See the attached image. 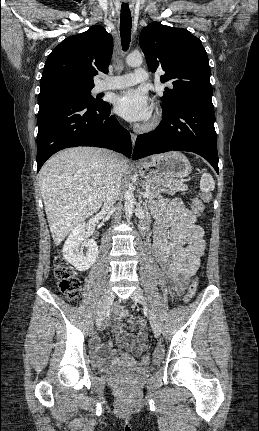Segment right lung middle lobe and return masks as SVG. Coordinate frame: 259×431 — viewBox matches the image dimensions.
Returning <instances> with one entry per match:
<instances>
[{"mask_svg": "<svg viewBox=\"0 0 259 431\" xmlns=\"http://www.w3.org/2000/svg\"><path fill=\"white\" fill-rule=\"evenodd\" d=\"M92 88H83L66 81L46 84L38 96L39 106L61 99L77 100L92 105L103 103L91 95Z\"/></svg>", "mask_w": 259, "mask_h": 431, "instance_id": "obj_1", "label": "right lung middle lobe"}]
</instances>
